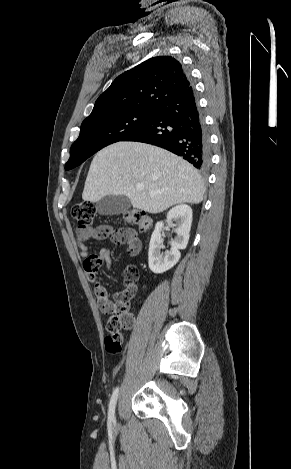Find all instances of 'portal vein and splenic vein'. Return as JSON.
I'll list each match as a JSON object with an SVG mask.
<instances>
[{
  "instance_id": "1",
  "label": "portal vein and splenic vein",
  "mask_w": 291,
  "mask_h": 469,
  "mask_svg": "<svg viewBox=\"0 0 291 469\" xmlns=\"http://www.w3.org/2000/svg\"><path fill=\"white\" fill-rule=\"evenodd\" d=\"M137 190H143L144 189V185L143 184H137L136 186ZM156 193L155 192H150V195H155Z\"/></svg>"
}]
</instances>
